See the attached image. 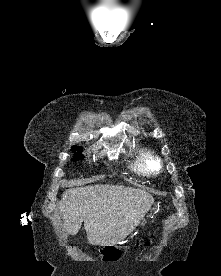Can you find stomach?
Listing matches in <instances>:
<instances>
[{"label":"stomach","instance_id":"obj_1","mask_svg":"<svg viewBox=\"0 0 221 276\" xmlns=\"http://www.w3.org/2000/svg\"><path fill=\"white\" fill-rule=\"evenodd\" d=\"M154 209L155 208H152L151 211L154 210ZM144 224H145V219L143 218V220L141 221V226H143Z\"/></svg>","mask_w":221,"mask_h":276}]
</instances>
